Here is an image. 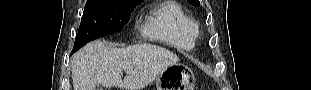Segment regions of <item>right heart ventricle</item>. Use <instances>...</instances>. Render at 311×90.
I'll return each instance as SVG.
<instances>
[{"label":"right heart ventricle","mask_w":311,"mask_h":90,"mask_svg":"<svg viewBox=\"0 0 311 90\" xmlns=\"http://www.w3.org/2000/svg\"><path fill=\"white\" fill-rule=\"evenodd\" d=\"M143 34L180 50H192L197 36V25L184 7L167 1L155 8L144 20Z\"/></svg>","instance_id":"1"}]
</instances>
